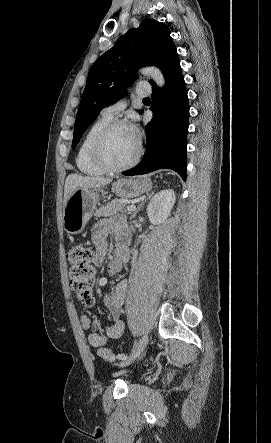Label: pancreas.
I'll list each match as a JSON object with an SVG mask.
<instances>
[{
    "instance_id": "1",
    "label": "pancreas",
    "mask_w": 271,
    "mask_h": 443,
    "mask_svg": "<svg viewBox=\"0 0 271 443\" xmlns=\"http://www.w3.org/2000/svg\"><path fill=\"white\" fill-rule=\"evenodd\" d=\"M125 206L126 202H123V200H113L111 204H106V206H101L99 210H96L94 216H97V218H101V216H114L118 212H124Z\"/></svg>"
}]
</instances>
